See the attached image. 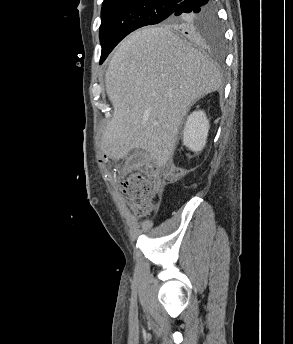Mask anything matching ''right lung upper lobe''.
I'll return each instance as SVG.
<instances>
[{
    "label": "right lung upper lobe",
    "mask_w": 293,
    "mask_h": 344,
    "mask_svg": "<svg viewBox=\"0 0 293 344\" xmlns=\"http://www.w3.org/2000/svg\"><path fill=\"white\" fill-rule=\"evenodd\" d=\"M122 1H128V0H104L103 3H111V2H122ZM161 1H167V2H171V3H178L181 0H161ZM166 24V23H165Z\"/></svg>",
    "instance_id": "1"
}]
</instances>
